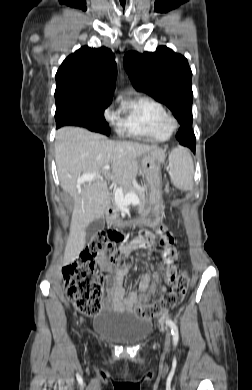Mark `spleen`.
I'll return each instance as SVG.
<instances>
[{"mask_svg": "<svg viewBox=\"0 0 252 390\" xmlns=\"http://www.w3.org/2000/svg\"><path fill=\"white\" fill-rule=\"evenodd\" d=\"M169 175L173 185L183 191L193 188L194 165L186 149L178 147L169 154Z\"/></svg>", "mask_w": 252, "mask_h": 390, "instance_id": "spleen-1", "label": "spleen"}]
</instances>
